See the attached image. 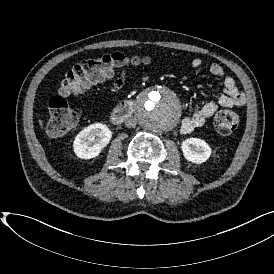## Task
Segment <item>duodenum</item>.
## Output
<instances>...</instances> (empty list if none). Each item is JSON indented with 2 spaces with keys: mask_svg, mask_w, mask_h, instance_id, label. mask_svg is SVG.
Segmentation results:
<instances>
[{
  "mask_svg": "<svg viewBox=\"0 0 274 274\" xmlns=\"http://www.w3.org/2000/svg\"><path fill=\"white\" fill-rule=\"evenodd\" d=\"M134 100H125L119 106H117L112 113V121L114 123H121L124 120L128 119L134 110Z\"/></svg>",
  "mask_w": 274,
  "mask_h": 274,
  "instance_id": "duodenum-1",
  "label": "duodenum"
}]
</instances>
